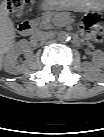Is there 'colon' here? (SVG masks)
<instances>
[{"instance_id":"colon-1","label":"colon","mask_w":104,"mask_h":137,"mask_svg":"<svg viewBox=\"0 0 104 137\" xmlns=\"http://www.w3.org/2000/svg\"><path fill=\"white\" fill-rule=\"evenodd\" d=\"M9 10L13 13L19 12L23 7L25 0H6ZM83 31L93 39L100 41L102 38V22L100 17L93 12H88L83 17Z\"/></svg>"}]
</instances>
